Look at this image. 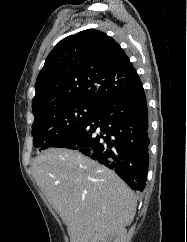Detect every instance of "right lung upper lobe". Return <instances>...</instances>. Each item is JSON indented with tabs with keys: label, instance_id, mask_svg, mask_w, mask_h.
Wrapping results in <instances>:
<instances>
[{
	"label": "right lung upper lobe",
	"instance_id": "obj_1",
	"mask_svg": "<svg viewBox=\"0 0 187 242\" xmlns=\"http://www.w3.org/2000/svg\"><path fill=\"white\" fill-rule=\"evenodd\" d=\"M140 78L120 45L98 30L61 40L48 55L35 85L34 116L72 102L100 105L138 88Z\"/></svg>",
	"mask_w": 187,
	"mask_h": 242
}]
</instances>
